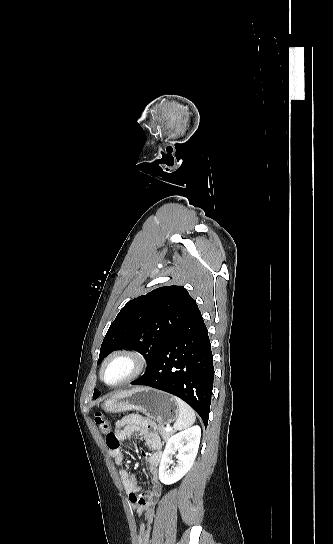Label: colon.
Segmentation results:
<instances>
[{
	"label": "colon",
	"instance_id": "obj_1",
	"mask_svg": "<svg viewBox=\"0 0 333 544\" xmlns=\"http://www.w3.org/2000/svg\"><path fill=\"white\" fill-rule=\"evenodd\" d=\"M94 421L100 432L105 434L106 437L111 434L109 421L103 413H96Z\"/></svg>",
	"mask_w": 333,
	"mask_h": 544
}]
</instances>
